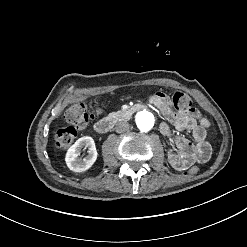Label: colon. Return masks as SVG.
<instances>
[{
  "label": "colon",
  "mask_w": 247,
  "mask_h": 247,
  "mask_svg": "<svg viewBox=\"0 0 247 247\" xmlns=\"http://www.w3.org/2000/svg\"><path fill=\"white\" fill-rule=\"evenodd\" d=\"M173 103L177 109L183 110L190 106V99L184 91H179L174 94ZM64 118L67 122L71 123V125L61 127L56 131L55 147L58 150L66 149L73 143L76 136V129L74 126L85 127L95 119V116L89 113L84 103H75L65 110ZM197 171V166L188 168L189 173H196Z\"/></svg>",
  "instance_id": "obj_1"
}]
</instances>
